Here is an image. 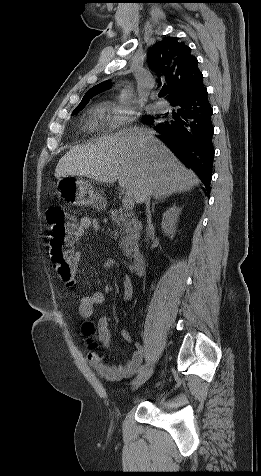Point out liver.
<instances>
[{
    "mask_svg": "<svg viewBox=\"0 0 261 476\" xmlns=\"http://www.w3.org/2000/svg\"><path fill=\"white\" fill-rule=\"evenodd\" d=\"M85 176L119 186L142 204L147 195L156 199L192 189L200 183L146 127L130 126L104 135L92 144L70 149L58 162L55 177Z\"/></svg>",
    "mask_w": 261,
    "mask_h": 476,
    "instance_id": "obj_1",
    "label": "liver"
}]
</instances>
